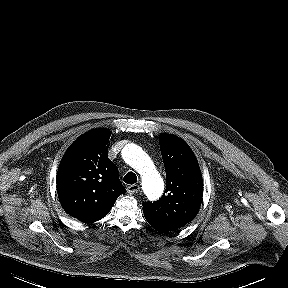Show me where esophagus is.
Here are the masks:
<instances>
[{
    "label": "esophagus",
    "mask_w": 288,
    "mask_h": 288,
    "mask_svg": "<svg viewBox=\"0 0 288 288\" xmlns=\"http://www.w3.org/2000/svg\"><path fill=\"white\" fill-rule=\"evenodd\" d=\"M139 189H140L139 185L133 184V185H129L127 187V192L129 194H134V193H137L139 191Z\"/></svg>",
    "instance_id": "esophagus-1"
}]
</instances>
